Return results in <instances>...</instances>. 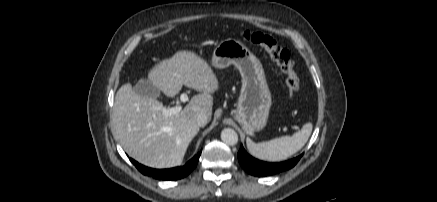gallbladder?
<instances>
[{"mask_svg":"<svg viewBox=\"0 0 437 202\" xmlns=\"http://www.w3.org/2000/svg\"><path fill=\"white\" fill-rule=\"evenodd\" d=\"M136 94L142 97L157 98L160 90L149 79H140L133 87Z\"/></svg>","mask_w":437,"mask_h":202,"instance_id":"gallbladder-1","label":"gallbladder"}]
</instances>
